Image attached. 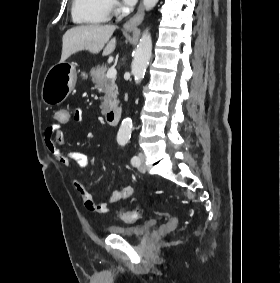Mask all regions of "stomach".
<instances>
[{"instance_id": "1", "label": "stomach", "mask_w": 280, "mask_h": 283, "mask_svg": "<svg viewBox=\"0 0 280 283\" xmlns=\"http://www.w3.org/2000/svg\"><path fill=\"white\" fill-rule=\"evenodd\" d=\"M77 71L73 64L59 62L53 65L45 75L41 99L46 105L62 103L77 82Z\"/></svg>"}]
</instances>
